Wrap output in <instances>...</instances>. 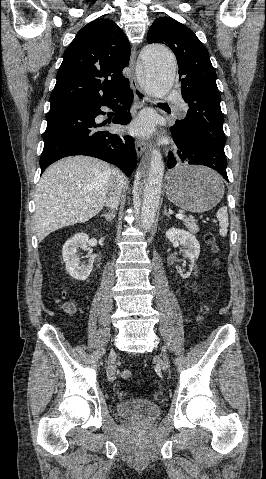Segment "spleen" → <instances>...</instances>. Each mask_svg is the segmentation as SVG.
<instances>
[{
  "mask_svg": "<svg viewBox=\"0 0 266 479\" xmlns=\"http://www.w3.org/2000/svg\"><path fill=\"white\" fill-rule=\"evenodd\" d=\"M216 217L219 220V233L222 237H225L227 235V228L229 225L227 207L220 208L216 213Z\"/></svg>",
  "mask_w": 266,
  "mask_h": 479,
  "instance_id": "obj_1",
  "label": "spleen"
}]
</instances>
